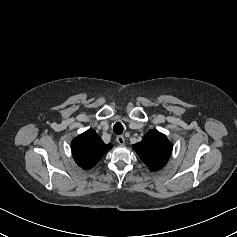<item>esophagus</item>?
I'll return each instance as SVG.
<instances>
[{"label": "esophagus", "mask_w": 237, "mask_h": 237, "mask_svg": "<svg viewBox=\"0 0 237 237\" xmlns=\"http://www.w3.org/2000/svg\"><path fill=\"white\" fill-rule=\"evenodd\" d=\"M116 140H117V142H118L120 145H123V144L125 143V139H124V137H123L122 135H118V136L116 137Z\"/></svg>", "instance_id": "34e87169"}]
</instances>
